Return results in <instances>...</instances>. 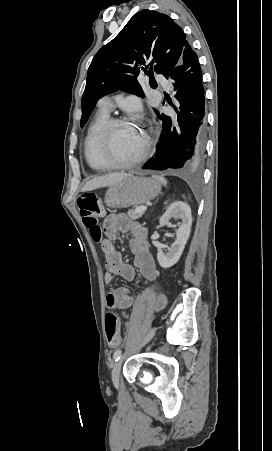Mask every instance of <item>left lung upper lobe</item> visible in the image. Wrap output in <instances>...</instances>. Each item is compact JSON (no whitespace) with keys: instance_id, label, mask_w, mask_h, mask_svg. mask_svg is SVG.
<instances>
[{"instance_id":"1","label":"left lung upper lobe","mask_w":272,"mask_h":451,"mask_svg":"<svg viewBox=\"0 0 272 451\" xmlns=\"http://www.w3.org/2000/svg\"><path fill=\"white\" fill-rule=\"evenodd\" d=\"M187 43L181 27L168 15L151 10L136 13L121 32L97 52L89 66L82 96L81 127L98 99L108 93L121 89L144 97L137 81L140 70L149 76L154 70L168 77Z\"/></svg>"}]
</instances>
